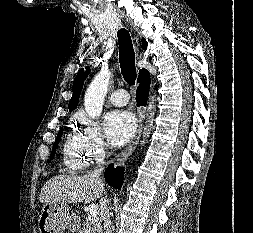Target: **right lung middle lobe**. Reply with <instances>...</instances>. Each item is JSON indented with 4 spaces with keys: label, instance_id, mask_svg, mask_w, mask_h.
<instances>
[{
    "label": "right lung middle lobe",
    "instance_id": "right-lung-middle-lobe-1",
    "mask_svg": "<svg viewBox=\"0 0 253 233\" xmlns=\"http://www.w3.org/2000/svg\"><path fill=\"white\" fill-rule=\"evenodd\" d=\"M62 134H63V129L61 128L60 131H59V133H58V135H57V138L55 140V143H54V146H53V149H52V153H51V156H50L51 160L54 158V155H55V152H56V148L58 146V143L60 141V138H61Z\"/></svg>",
    "mask_w": 253,
    "mask_h": 233
}]
</instances>
